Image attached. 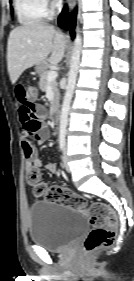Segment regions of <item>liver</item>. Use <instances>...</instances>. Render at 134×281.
<instances>
[{"instance_id":"liver-1","label":"liver","mask_w":134,"mask_h":281,"mask_svg":"<svg viewBox=\"0 0 134 281\" xmlns=\"http://www.w3.org/2000/svg\"><path fill=\"white\" fill-rule=\"evenodd\" d=\"M66 49L65 35L44 22H31L13 29L8 38L7 67L14 84L34 65L58 64ZM51 53L50 58L48 55Z\"/></svg>"}]
</instances>
